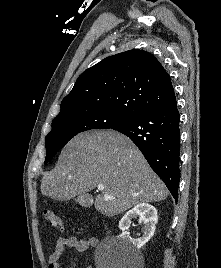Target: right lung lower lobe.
Here are the masks:
<instances>
[{"mask_svg":"<svg viewBox=\"0 0 221 268\" xmlns=\"http://www.w3.org/2000/svg\"><path fill=\"white\" fill-rule=\"evenodd\" d=\"M180 115L176 101L144 112L112 129L129 137L177 202L180 181Z\"/></svg>","mask_w":221,"mask_h":268,"instance_id":"obj_1","label":"right lung lower lobe"}]
</instances>
